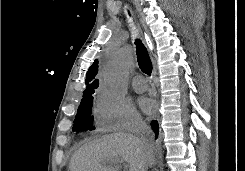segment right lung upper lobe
<instances>
[{
  "mask_svg": "<svg viewBox=\"0 0 245 171\" xmlns=\"http://www.w3.org/2000/svg\"><path fill=\"white\" fill-rule=\"evenodd\" d=\"M98 71V61L95 60V62L92 64V66L89 68L86 74V90L83 92V98L91 96L94 93V90L98 87L99 83L98 80L95 79V76Z\"/></svg>",
  "mask_w": 245,
  "mask_h": 171,
  "instance_id": "cb5924a9",
  "label": "right lung upper lobe"
}]
</instances>
